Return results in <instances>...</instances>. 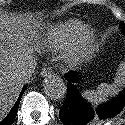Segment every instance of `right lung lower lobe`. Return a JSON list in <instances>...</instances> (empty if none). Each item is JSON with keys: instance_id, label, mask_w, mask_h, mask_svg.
<instances>
[{"instance_id": "1", "label": "right lung lower lobe", "mask_w": 125, "mask_h": 125, "mask_svg": "<svg viewBox=\"0 0 125 125\" xmlns=\"http://www.w3.org/2000/svg\"><path fill=\"white\" fill-rule=\"evenodd\" d=\"M26 89V86L23 87L17 101L15 102L14 106L12 107L11 111L9 112V114L0 122V125H12L16 115H17V110H18V107H19V103H20V100H21V97L24 93Z\"/></svg>"}]
</instances>
